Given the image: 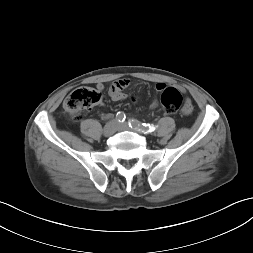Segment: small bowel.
Masks as SVG:
<instances>
[{
    "mask_svg": "<svg viewBox=\"0 0 253 253\" xmlns=\"http://www.w3.org/2000/svg\"><path fill=\"white\" fill-rule=\"evenodd\" d=\"M128 85H129V80H127V79H119V80L115 81L110 86L109 95L115 101L123 100L125 98V94L123 93V89L126 88ZM96 87H97V90H99V91L103 90L102 84H97ZM165 87H166V84H164V83H157L156 84V90L158 92H161ZM157 106H158V101L156 99H154L151 102L150 107L156 108ZM193 110H194V107L188 99L186 100L185 103L182 104V106L180 108L181 113L186 117L191 116L193 113Z\"/></svg>",
    "mask_w": 253,
    "mask_h": 253,
    "instance_id": "c3829d8e",
    "label": "small bowel"
}]
</instances>
